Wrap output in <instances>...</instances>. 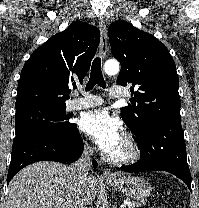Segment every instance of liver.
<instances>
[{"instance_id":"obj_1","label":"liver","mask_w":199,"mask_h":208,"mask_svg":"<svg viewBox=\"0 0 199 208\" xmlns=\"http://www.w3.org/2000/svg\"><path fill=\"white\" fill-rule=\"evenodd\" d=\"M98 191L93 175L77 177L72 166L42 161L19 171L8 186L6 208H76L90 205Z\"/></svg>"}]
</instances>
